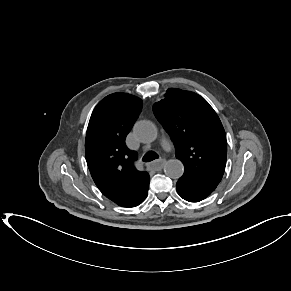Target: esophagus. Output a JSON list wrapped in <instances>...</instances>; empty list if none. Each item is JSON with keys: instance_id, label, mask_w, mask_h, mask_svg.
Listing matches in <instances>:
<instances>
[{"instance_id": "obj_1", "label": "esophagus", "mask_w": 291, "mask_h": 291, "mask_svg": "<svg viewBox=\"0 0 291 291\" xmlns=\"http://www.w3.org/2000/svg\"><path fill=\"white\" fill-rule=\"evenodd\" d=\"M166 160L165 159H159L157 161H154L150 164V168L154 170H161L165 165Z\"/></svg>"}]
</instances>
